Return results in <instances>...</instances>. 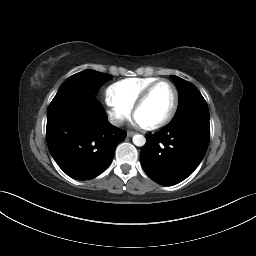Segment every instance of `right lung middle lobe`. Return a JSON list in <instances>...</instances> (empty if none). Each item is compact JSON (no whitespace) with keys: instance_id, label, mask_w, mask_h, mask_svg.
Segmentation results:
<instances>
[{"instance_id":"right-lung-middle-lobe-1","label":"right lung middle lobe","mask_w":256,"mask_h":256,"mask_svg":"<svg viewBox=\"0 0 256 256\" xmlns=\"http://www.w3.org/2000/svg\"><path fill=\"white\" fill-rule=\"evenodd\" d=\"M108 80H111L108 74L94 70L76 73L63 82L48 109L60 104L81 101L87 96V85L97 92Z\"/></svg>"}]
</instances>
